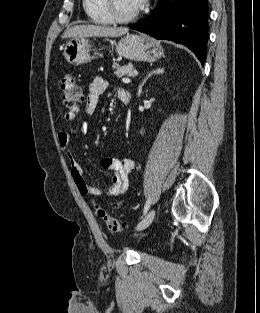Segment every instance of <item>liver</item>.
<instances>
[{"mask_svg":"<svg viewBox=\"0 0 260 313\" xmlns=\"http://www.w3.org/2000/svg\"><path fill=\"white\" fill-rule=\"evenodd\" d=\"M128 32V28L101 25H76L66 30L63 38L119 37Z\"/></svg>","mask_w":260,"mask_h":313,"instance_id":"obj_1","label":"liver"}]
</instances>
